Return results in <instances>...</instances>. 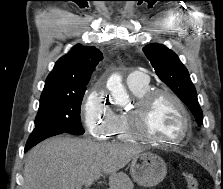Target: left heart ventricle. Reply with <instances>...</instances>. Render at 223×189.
<instances>
[{"label":"left heart ventricle","instance_id":"left-heart-ventricle-1","mask_svg":"<svg viewBox=\"0 0 223 189\" xmlns=\"http://www.w3.org/2000/svg\"><path fill=\"white\" fill-rule=\"evenodd\" d=\"M182 127L181 112L166 96L158 98L151 105L143 122V128L147 134L166 140L177 138Z\"/></svg>","mask_w":223,"mask_h":189}]
</instances>
